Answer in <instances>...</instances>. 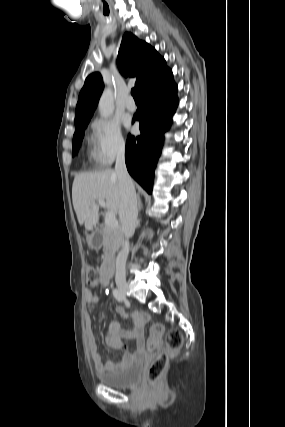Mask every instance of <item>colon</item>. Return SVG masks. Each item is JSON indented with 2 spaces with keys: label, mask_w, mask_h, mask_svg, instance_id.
I'll return each mask as SVG.
<instances>
[{
  "label": "colon",
  "mask_w": 285,
  "mask_h": 427,
  "mask_svg": "<svg viewBox=\"0 0 285 427\" xmlns=\"http://www.w3.org/2000/svg\"><path fill=\"white\" fill-rule=\"evenodd\" d=\"M87 283L94 286L98 282V273L96 269L88 265L85 270ZM163 334V327L159 323L152 324L149 329V336L147 339V350L152 352L159 348L161 342V336ZM183 344V337L180 331L171 329L166 333L165 336V350L157 355L154 361L151 363L147 378L150 383H155L162 376L167 368L169 358L171 355L180 350Z\"/></svg>",
  "instance_id": "obj_1"
}]
</instances>
